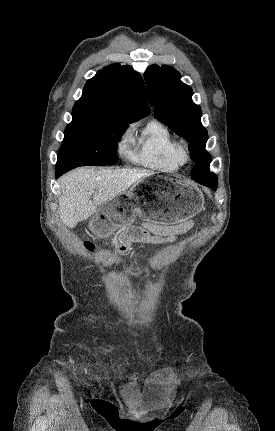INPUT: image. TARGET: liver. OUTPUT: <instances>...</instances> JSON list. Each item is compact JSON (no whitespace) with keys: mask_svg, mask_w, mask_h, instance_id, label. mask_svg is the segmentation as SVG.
<instances>
[{"mask_svg":"<svg viewBox=\"0 0 275 431\" xmlns=\"http://www.w3.org/2000/svg\"><path fill=\"white\" fill-rule=\"evenodd\" d=\"M153 174L144 169H75L60 179V219L66 226L74 227L93 215L98 205L123 194L131 185ZM91 191L93 200H90Z\"/></svg>","mask_w":275,"mask_h":431,"instance_id":"1","label":"liver"}]
</instances>
